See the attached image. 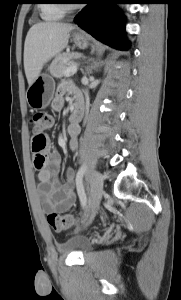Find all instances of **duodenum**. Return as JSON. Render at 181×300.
Instances as JSON below:
<instances>
[{
    "label": "duodenum",
    "mask_w": 181,
    "mask_h": 300,
    "mask_svg": "<svg viewBox=\"0 0 181 300\" xmlns=\"http://www.w3.org/2000/svg\"><path fill=\"white\" fill-rule=\"evenodd\" d=\"M83 112H84V102L82 99H78L75 103V106H74V109H73V112H72V115H71V124L72 125H75L77 124L82 115H83Z\"/></svg>",
    "instance_id": "duodenum-1"
}]
</instances>
